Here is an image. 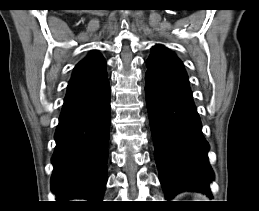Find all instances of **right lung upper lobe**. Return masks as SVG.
Masks as SVG:
<instances>
[{
	"label": "right lung upper lobe",
	"instance_id": "cb5924a9",
	"mask_svg": "<svg viewBox=\"0 0 259 211\" xmlns=\"http://www.w3.org/2000/svg\"><path fill=\"white\" fill-rule=\"evenodd\" d=\"M107 82L103 57L98 53H91L76 65L64 102L75 101L91 95Z\"/></svg>",
	"mask_w": 259,
	"mask_h": 211
}]
</instances>
